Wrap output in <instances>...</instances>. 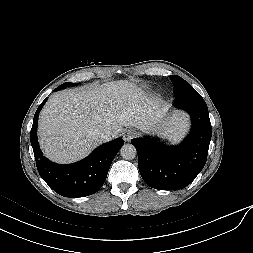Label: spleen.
<instances>
[{
  "label": "spleen",
  "instance_id": "spleen-1",
  "mask_svg": "<svg viewBox=\"0 0 253 253\" xmlns=\"http://www.w3.org/2000/svg\"><path fill=\"white\" fill-rule=\"evenodd\" d=\"M182 137V134L174 138V142H179Z\"/></svg>",
  "mask_w": 253,
  "mask_h": 253
}]
</instances>
